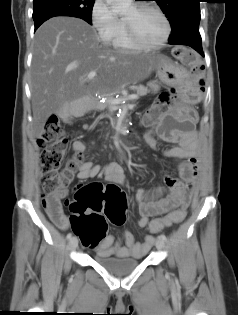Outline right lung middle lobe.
Masks as SVG:
<instances>
[{"instance_id": "obj_1", "label": "right lung middle lobe", "mask_w": 238, "mask_h": 315, "mask_svg": "<svg viewBox=\"0 0 238 315\" xmlns=\"http://www.w3.org/2000/svg\"><path fill=\"white\" fill-rule=\"evenodd\" d=\"M33 19L61 14L81 18L92 24V8L94 0H33Z\"/></svg>"}]
</instances>
